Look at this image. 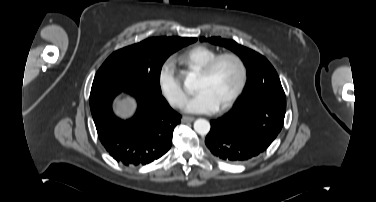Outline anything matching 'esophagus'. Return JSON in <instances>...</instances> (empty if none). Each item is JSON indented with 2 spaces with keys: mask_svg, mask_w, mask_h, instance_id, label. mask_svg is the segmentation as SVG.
Segmentation results:
<instances>
[{
  "mask_svg": "<svg viewBox=\"0 0 376 202\" xmlns=\"http://www.w3.org/2000/svg\"><path fill=\"white\" fill-rule=\"evenodd\" d=\"M194 120H195V118H194V117H191V116H183V117H182V122H183V123L192 122V121H194Z\"/></svg>",
  "mask_w": 376,
  "mask_h": 202,
  "instance_id": "esophagus-1",
  "label": "esophagus"
}]
</instances>
